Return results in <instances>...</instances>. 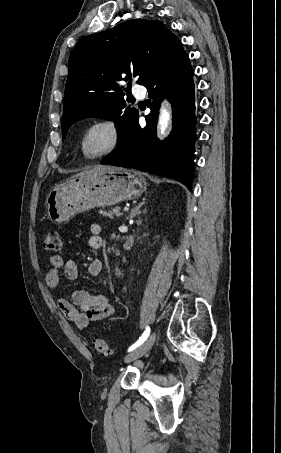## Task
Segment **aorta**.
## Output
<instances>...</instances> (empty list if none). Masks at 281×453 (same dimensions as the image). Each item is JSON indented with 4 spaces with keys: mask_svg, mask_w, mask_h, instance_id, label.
<instances>
[{
    "mask_svg": "<svg viewBox=\"0 0 281 453\" xmlns=\"http://www.w3.org/2000/svg\"><path fill=\"white\" fill-rule=\"evenodd\" d=\"M172 120V113L168 109L167 105H162L160 109V115L158 118V130L160 135H163L168 127V125L171 123Z\"/></svg>",
    "mask_w": 281,
    "mask_h": 453,
    "instance_id": "aorta-1",
    "label": "aorta"
}]
</instances>
